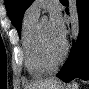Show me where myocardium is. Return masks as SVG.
<instances>
[{
    "label": "myocardium",
    "mask_w": 89,
    "mask_h": 89,
    "mask_svg": "<svg viewBox=\"0 0 89 89\" xmlns=\"http://www.w3.org/2000/svg\"><path fill=\"white\" fill-rule=\"evenodd\" d=\"M35 49H36V53L39 57V59L41 60V62L52 68L53 70L63 61V59L65 58V55L67 53V42L64 40L63 41V45H62V49L61 52L59 53V55L56 58H51L43 45V41H42V22H39L36 28V32H35Z\"/></svg>",
    "instance_id": "1"
}]
</instances>
